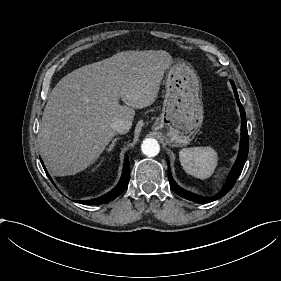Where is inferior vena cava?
Returning a JSON list of instances; mask_svg holds the SVG:
<instances>
[{"label":"inferior vena cava","instance_id":"inferior-vena-cava-1","mask_svg":"<svg viewBox=\"0 0 281 281\" xmlns=\"http://www.w3.org/2000/svg\"><path fill=\"white\" fill-rule=\"evenodd\" d=\"M131 124L125 120H118L113 123L112 128L118 134H127L129 132Z\"/></svg>","mask_w":281,"mask_h":281}]
</instances>
